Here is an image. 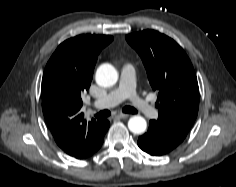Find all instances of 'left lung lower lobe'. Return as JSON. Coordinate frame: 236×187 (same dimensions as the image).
Returning <instances> with one entry per match:
<instances>
[{
    "label": "left lung lower lobe",
    "mask_w": 236,
    "mask_h": 187,
    "mask_svg": "<svg viewBox=\"0 0 236 187\" xmlns=\"http://www.w3.org/2000/svg\"><path fill=\"white\" fill-rule=\"evenodd\" d=\"M185 137L175 130L151 120L148 132L139 137L138 146L150 155L161 156L176 148Z\"/></svg>",
    "instance_id": "1"
}]
</instances>
